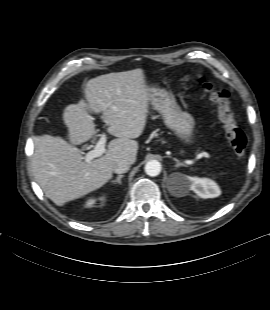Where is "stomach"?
<instances>
[{
	"label": "stomach",
	"instance_id": "obj_1",
	"mask_svg": "<svg viewBox=\"0 0 270 310\" xmlns=\"http://www.w3.org/2000/svg\"><path fill=\"white\" fill-rule=\"evenodd\" d=\"M149 101L163 116L165 125L185 144L194 141L195 121L193 116L182 111L173 96L160 89H150Z\"/></svg>",
	"mask_w": 270,
	"mask_h": 310
}]
</instances>
